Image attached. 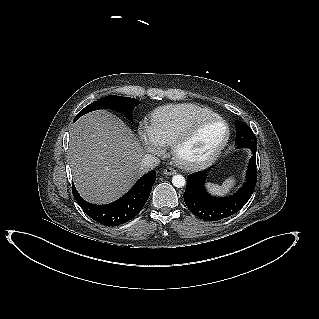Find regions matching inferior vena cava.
I'll list each match as a JSON object with an SVG mask.
<instances>
[{
  "mask_svg": "<svg viewBox=\"0 0 319 319\" xmlns=\"http://www.w3.org/2000/svg\"><path fill=\"white\" fill-rule=\"evenodd\" d=\"M159 163L160 159L158 157H155L151 154H145L140 163V171L147 172L158 166Z\"/></svg>",
  "mask_w": 319,
  "mask_h": 319,
  "instance_id": "inferior-vena-cava-1",
  "label": "inferior vena cava"
}]
</instances>
